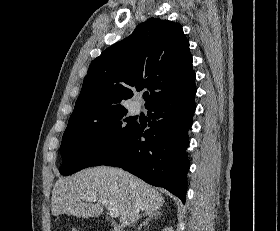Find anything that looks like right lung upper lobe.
I'll return each mask as SVG.
<instances>
[{"label":"right lung upper lobe","instance_id":"obj_1","mask_svg":"<svg viewBox=\"0 0 280 231\" xmlns=\"http://www.w3.org/2000/svg\"><path fill=\"white\" fill-rule=\"evenodd\" d=\"M195 86L189 42L182 26L150 18L110 46L89 66L69 120L94 119L124 111L133 92L151 91L145 107Z\"/></svg>","mask_w":280,"mask_h":231}]
</instances>
